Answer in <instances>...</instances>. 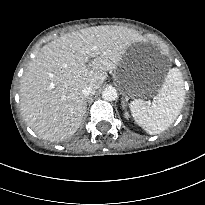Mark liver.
<instances>
[{
  "label": "liver",
  "mask_w": 205,
  "mask_h": 205,
  "mask_svg": "<svg viewBox=\"0 0 205 205\" xmlns=\"http://www.w3.org/2000/svg\"><path fill=\"white\" fill-rule=\"evenodd\" d=\"M136 37L123 27L94 26L44 45L20 83L21 112L28 126L49 141L72 136L86 110L82 89L87 85L98 89Z\"/></svg>",
  "instance_id": "obj_1"
}]
</instances>
